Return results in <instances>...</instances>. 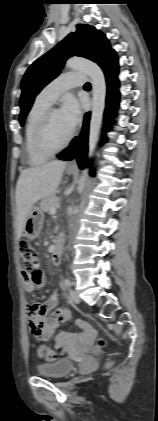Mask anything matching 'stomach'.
Here are the masks:
<instances>
[{"label":"stomach","instance_id":"1","mask_svg":"<svg viewBox=\"0 0 158 421\" xmlns=\"http://www.w3.org/2000/svg\"><path fill=\"white\" fill-rule=\"evenodd\" d=\"M74 170L67 169L68 174H72ZM44 222V213L43 210L38 206H33L29 211L25 224H24V232L25 236L29 240H34L40 234V231L43 227Z\"/></svg>","mask_w":158,"mask_h":421}]
</instances>
